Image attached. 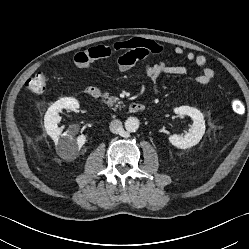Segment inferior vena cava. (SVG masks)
<instances>
[{
  "instance_id": "1",
  "label": "inferior vena cava",
  "mask_w": 249,
  "mask_h": 249,
  "mask_svg": "<svg viewBox=\"0 0 249 249\" xmlns=\"http://www.w3.org/2000/svg\"><path fill=\"white\" fill-rule=\"evenodd\" d=\"M109 128L112 133H120L123 130L122 122L120 120H113L110 122Z\"/></svg>"
}]
</instances>
